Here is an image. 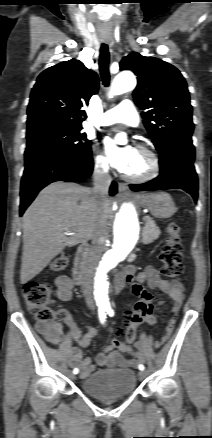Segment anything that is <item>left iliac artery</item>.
Segmentation results:
<instances>
[{
  "instance_id": "obj_1",
  "label": "left iliac artery",
  "mask_w": 212,
  "mask_h": 438,
  "mask_svg": "<svg viewBox=\"0 0 212 438\" xmlns=\"http://www.w3.org/2000/svg\"><path fill=\"white\" fill-rule=\"evenodd\" d=\"M105 310H106V312L109 314V316H113V315H114V311H113V309H112L111 307H107ZM138 368H139V370H141V371L145 369L144 365H142V364H140V365L138 366Z\"/></svg>"
}]
</instances>
